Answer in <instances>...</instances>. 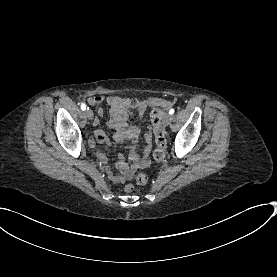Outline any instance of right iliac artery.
<instances>
[{
  "label": "right iliac artery",
  "mask_w": 277,
  "mask_h": 277,
  "mask_svg": "<svg viewBox=\"0 0 277 277\" xmlns=\"http://www.w3.org/2000/svg\"><path fill=\"white\" fill-rule=\"evenodd\" d=\"M81 109L84 111L86 110V105L84 103L81 104Z\"/></svg>",
  "instance_id": "82829eb1"
}]
</instances>
